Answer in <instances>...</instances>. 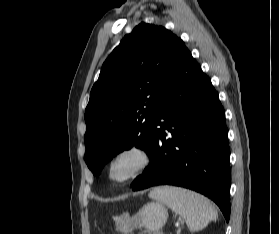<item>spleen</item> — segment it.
<instances>
[{
    "mask_svg": "<svg viewBox=\"0 0 279 234\" xmlns=\"http://www.w3.org/2000/svg\"><path fill=\"white\" fill-rule=\"evenodd\" d=\"M149 196L178 213L185 219L190 231L204 229L218 219V212L204 196L179 187L162 186L151 191Z\"/></svg>",
    "mask_w": 279,
    "mask_h": 234,
    "instance_id": "obj_1",
    "label": "spleen"
}]
</instances>
